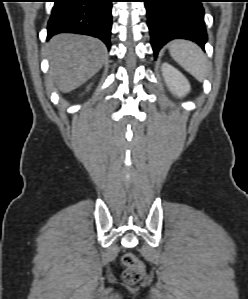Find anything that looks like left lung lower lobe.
Wrapping results in <instances>:
<instances>
[{"instance_id": "obj_1", "label": "left lung lower lobe", "mask_w": 248, "mask_h": 299, "mask_svg": "<svg viewBox=\"0 0 248 299\" xmlns=\"http://www.w3.org/2000/svg\"><path fill=\"white\" fill-rule=\"evenodd\" d=\"M204 0H144L154 54L173 39H187L204 48Z\"/></svg>"}]
</instances>
